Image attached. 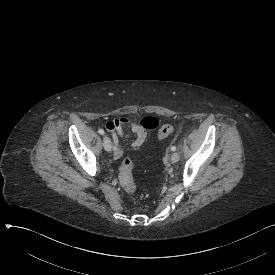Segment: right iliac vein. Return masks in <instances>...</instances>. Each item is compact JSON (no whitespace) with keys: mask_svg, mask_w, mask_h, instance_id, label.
I'll return each instance as SVG.
<instances>
[{"mask_svg":"<svg viewBox=\"0 0 275 275\" xmlns=\"http://www.w3.org/2000/svg\"><path fill=\"white\" fill-rule=\"evenodd\" d=\"M103 146H104V149L107 151V152H111L112 150V142H111V139L107 136L104 137L103 139Z\"/></svg>","mask_w":275,"mask_h":275,"instance_id":"63e3f726","label":"right iliac vein"}]
</instances>
